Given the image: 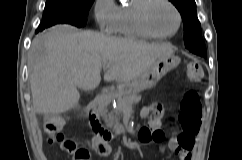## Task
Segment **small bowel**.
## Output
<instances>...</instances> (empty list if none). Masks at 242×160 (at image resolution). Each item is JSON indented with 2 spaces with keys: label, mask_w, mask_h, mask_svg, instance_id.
<instances>
[{
  "label": "small bowel",
  "mask_w": 242,
  "mask_h": 160,
  "mask_svg": "<svg viewBox=\"0 0 242 160\" xmlns=\"http://www.w3.org/2000/svg\"><path fill=\"white\" fill-rule=\"evenodd\" d=\"M145 115H147V112H144ZM160 126V120L154 119L150 122L149 127L143 128L139 132V140L142 143H150L152 140H146L141 136V132L145 129H148L150 131L159 129ZM181 135V134H179ZM179 135L177 137H173L169 141V148L170 150L177 155V160H192V152L195 146V135H188V134H182L181 137L183 140L179 139ZM96 140H94V145L96 144ZM68 144L70 145V148L66 149V152L73 153L75 151V146L72 142L68 141Z\"/></svg>",
  "instance_id": "c3829d8e"
}]
</instances>
